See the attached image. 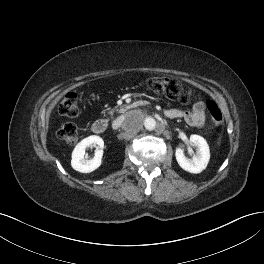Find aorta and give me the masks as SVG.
Here are the masks:
<instances>
[{
    "label": "aorta",
    "instance_id": "obj_1",
    "mask_svg": "<svg viewBox=\"0 0 264 264\" xmlns=\"http://www.w3.org/2000/svg\"><path fill=\"white\" fill-rule=\"evenodd\" d=\"M143 123H144V127L149 131H152L157 127V122L152 117L146 118Z\"/></svg>",
    "mask_w": 264,
    "mask_h": 264
}]
</instances>
